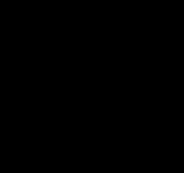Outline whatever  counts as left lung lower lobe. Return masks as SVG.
<instances>
[{"instance_id": "left-lung-lower-lobe-1", "label": "left lung lower lobe", "mask_w": 184, "mask_h": 173, "mask_svg": "<svg viewBox=\"0 0 184 173\" xmlns=\"http://www.w3.org/2000/svg\"><path fill=\"white\" fill-rule=\"evenodd\" d=\"M103 156L118 168H131L145 161L157 144L149 143L125 126L104 125L99 132Z\"/></svg>"}]
</instances>
